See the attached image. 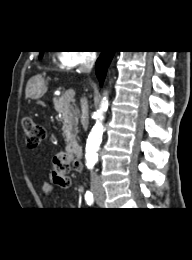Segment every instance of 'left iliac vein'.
<instances>
[{
	"mask_svg": "<svg viewBox=\"0 0 192 260\" xmlns=\"http://www.w3.org/2000/svg\"><path fill=\"white\" fill-rule=\"evenodd\" d=\"M96 203L99 205V206H104L105 202H104V196L102 193H99L96 195Z\"/></svg>",
	"mask_w": 192,
	"mask_h": 260,
	"instance_id": "4c4485c4",
	"label": "left iliac vein"
}]
</instances>
